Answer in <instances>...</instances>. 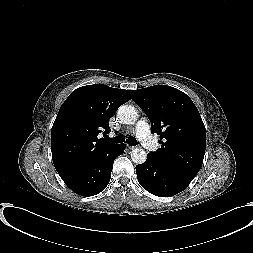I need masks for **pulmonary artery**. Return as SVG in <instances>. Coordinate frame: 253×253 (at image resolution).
I'll list each match as a JSON object with an SVG mask.
<instances>
[{
	"label": "pulmonary artery",
	"instance_id": "obj_1",
	"mask_svg": "<svg viewBox=\"0 0 253 253\" xmlns=\"http://www.w3.org/2000/svg\"><path fill=\"white\" fill-rule=\"evenodd\" d=\"M135 134L140 142L147 149L154 151L157 148V144L154 142L149 130V125L145 120H140L135 126Z\"/></svg>",
	"mask_w": 253,
	"mask_h": 253
}]
</instances>
